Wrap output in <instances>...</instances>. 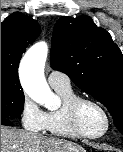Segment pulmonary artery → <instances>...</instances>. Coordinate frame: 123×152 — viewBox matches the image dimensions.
Wrapping results in <instances>:
<instances>
[{"label": "pulmonary artery", "instance_id": "e3ab8cb5", "mask_svg": "<svg viewBox=\"0 0 123 152\" xmlns=\"http://www.w3.org/2000/svg\"><path fill=\"white\" fill-rule=\"evenodd\" d=\"M48 82L53 88H71L70 78L60 71L53 70L48 75Z\"/></svg>", "mask_w": 123, "mask_h": 152}]
</instances>
